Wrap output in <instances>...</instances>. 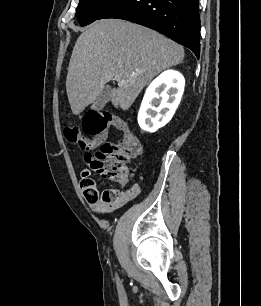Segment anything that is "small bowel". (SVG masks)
<instances>
[{
  "label": "small bowel",
  "mask_w": 261,
  "mask_h": 306,
  "mask_svg": "<svg viewBox=\"0 0 261 306\" xmlns=\"http://www.w3.org/2000/svg\"><path fill=\"white\" fill-rule=\"evenodd\" d=\"M139 194L140 188L135 185L125 192L118 193L115 201L111 203L97 202L92 204V209L102 214L112 213L135 199Z\"/></svg>",
  "instance_id": "obj_1"
}]
</instances>
